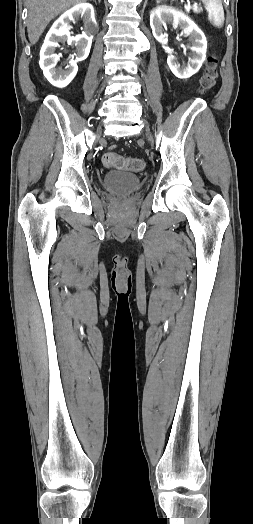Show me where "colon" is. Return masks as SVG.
<instances>
[{"instance_id":"1","label":"colon","mask_w":253,"mask_h":524,"mask_svg":"<svg viewBox=\"0 0 253 524\" xmlns=\"http://www.w3.org/2000/svg\"><path fill=\"white\" fill-rule=\"evenodd\" d=\"M218 78V59L211 56L207 60V67L205 74L200 80V90L207 92L211 90ZM103 163L107 167H114L117 169H124L128 171L140 172L145 168V162L140 158H125L115 152H107L103 156Z\"/></svg>"}]
</instances>
